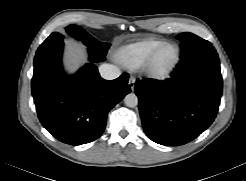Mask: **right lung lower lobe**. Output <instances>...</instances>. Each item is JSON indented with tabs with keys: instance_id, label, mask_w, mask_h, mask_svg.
<instances>
[{
	"instance_id": "obj_1",
	"label": "right lung lower lobe",
	"mask_w": 246,
	"mask_h": 181,
	"mask_svg": "<svg viewBox=\"0 0 246 181\" xmlns=\"http://www.w3.org/2000/svg\"><path fill=\"white\" fill-rule=\"evenodd\" d=\"M62 50L59 41L36 53L32 95L42 125L55 138L86 144L102 134L108 112L130 92L128 74L102 79L94 62L105 58L89 53L90 63L69 77L62 68Z\"/></svg>"
}]
</instances>
